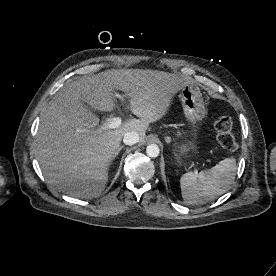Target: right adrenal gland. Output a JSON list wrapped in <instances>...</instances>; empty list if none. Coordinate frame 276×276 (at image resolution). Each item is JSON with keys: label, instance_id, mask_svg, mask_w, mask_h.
Segmentation results:
<instances>
[{"label": "right adrenal gland", "instance_id": "2a0ac1e0", "mask_svg": "<svg viewBox=\"0 0 276 276\" xmlns=\"http://www.w3.org/2000/svg\"><path fill=\"white\" fill-rule=\"evenodd\" d=\"M122 148H123V146H121L118 151H120ZM117 154H118V152L116 153L115 157L117 156Z\"/></svg>", "mask_w": 276, "mask_h": 276}]
</instances>
